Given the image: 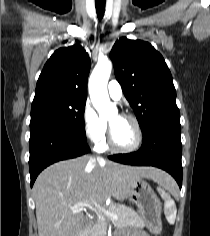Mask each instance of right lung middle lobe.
Wrapping results in <instances>:
<instances>
[{
	"instance_id": "1",
	"label": "right lung middle lobe",
	"mask_w": 210,
	"mask_h": 236,
	"mask_svg": "<svg viewBox=\"0 0 210 236\" xmlns=\"http://www.w3.org/2000/svg\"><path fill=\"white\" fill-rule=\"evenodd\" d=\"M85 98L54 96L32 103L30 131L61 127L85 134Z\"/></svg>"
}]
</instances>
